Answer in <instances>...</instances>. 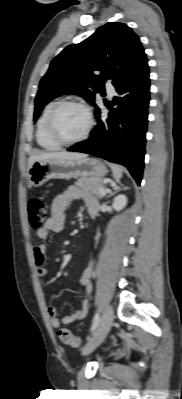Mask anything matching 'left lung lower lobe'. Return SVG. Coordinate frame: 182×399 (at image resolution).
I'll return each instance as SVG.
<instances>
[{
	"label": "left lung lower lobe",
	"mask_w": 182,
	"mask_h": 399,
	"mask_svg": "<svg viewBox=\"0 0 182 399\" xmlns=\"http://www.w3.org/2000/svg\"><path fill=\"white\" fill-rule=\"evenodd\" d=\"M150 79L147 61L122 84L113 104L117 108L107 118L96 114L98 125L91 137L76 143L68 151L98 156L128 168L140 185L144 169L145 143L150 101Z\"/></svg>",
	"instance_id": "0a47b994"
}]
</instances>
